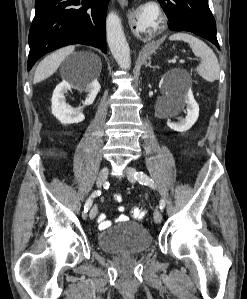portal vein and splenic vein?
Listing matches in <instances>:
<instances>
[{
  "mask_svg": "<svg viewBox=\"0 0 247 299\" xmlns=\"http://www.w3.org/2000/svg\"><path fill=\"white\" fill-rule=\"evenodd\" d=\"M172 62H173V63H175V62H176V60H175V59H173V60H172Z\"/></svg>",
  "mask_w": 247,
  "mask_h": 299,
  "instance_id": "18ae733b",
  "label": "portal vein and splenic vein"
}]
</instances>
